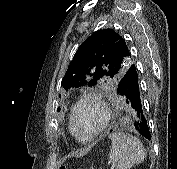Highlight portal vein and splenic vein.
Here are the masks:
<instances>
[{"label":"portal vein and splenic vein","instance_id":"18ae733b","mask_svg":"<svg viewBox=\"0 0 177 169\" xmlns=\"http://www.w3.org/2000/svg\"><path fill=\"white\" fill-rule=\"evenodd\" d=\"M114 168H115V165H111V166H110V169H114Z\"/></svg>","mask_w":177,"mask_h":169}]
</instances>
